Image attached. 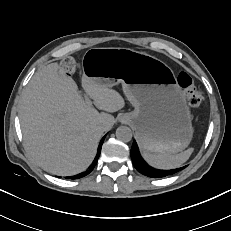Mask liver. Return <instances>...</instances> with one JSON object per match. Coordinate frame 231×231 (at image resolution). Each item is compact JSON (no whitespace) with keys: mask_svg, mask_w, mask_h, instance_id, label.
<instances>
[{"mask_svg":"<svg viewBox=\"0 0 231 231\" xmlns=\"http://www.w3.org/2000/svg\"><path fill=\"white\" fill-rule=\"evenodd\" d=\"M81 81L94 105L105 112L86 104L75 81L57 63L36 72L21 96L19 119L25 148L41 168L55 175L84 171L104 131L115 123L109 113L125 106L123 97L111 87L84 73Z\"/></svg>","mask_w":231,"mask_h":231,"instance_id":"obj_1","label":"liver"}]
</instances>
